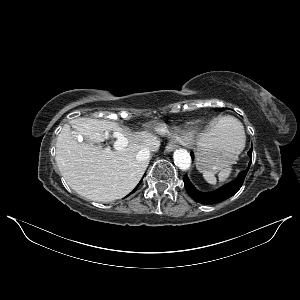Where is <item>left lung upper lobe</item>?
<instances>
[{"label":"left lung upper lobe","instance_id":"1","mask_svg":"<svg viewBox=\"0 0 300 300\" xmlns=\"http://www.w3.org/2000/svg\"><path fill=\"white\" fill-rule=\"evenodd\" d=\"M218 110L222 111L223 109H222V108H219Z\"/></svg>","mask_w":300,"mask_h":300}]
</instances>
